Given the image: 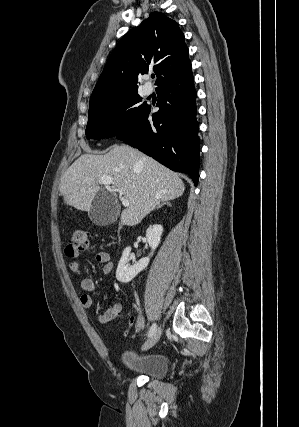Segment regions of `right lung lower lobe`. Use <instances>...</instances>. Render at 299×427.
Masks as SVG:
<instances>
[{"mask_svg":"<svg viewBox=\"0 0 299 427\" xmlns=\"http://www.w3.org/2000/svg\"><path fill=\"white\" fill-rule=\"evenodd\" d=\"M159 111L148 121L150 107L130 130L117 136L161 164L187 173L197 185L199 138L196 121V91L192 71L167 79L157 87Z\"/></svg>","mask_w":299,"mask_h":427,"instance_id":"obj_1","label":"right lung lower lobe"}]
</instances>
